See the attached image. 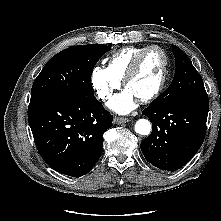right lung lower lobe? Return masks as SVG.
I'll list each match as a JSON object with an SVG mask.
<instances>
[{
    "mask_svg": "<svg viewBox=\"0 0 221 221\" xmlns=\"http://www.w3.org/2000/svg\"><path fill=\"white\" fill-rule=\"evenodd\" d=\"M28 120L36 147L59 173L80 177L96 164L113 116L94 96L51 97L30 102Z\"/></svg>",
    "mask_w": 221,
    "mask_h": 221,
    "instance_id": "right-lung-lower-lobe-1",
    "label": "right lung lower lobe"
}]
</instances>
